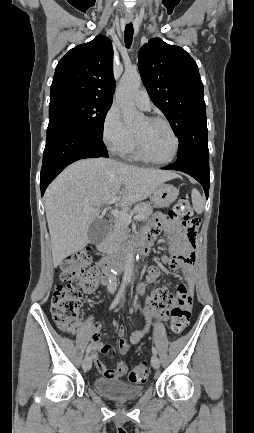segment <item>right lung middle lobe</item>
Listing matches in <instances>:
<instances>
[{
    "instance_id": "1",
    "label": "right lung middle lobe",
    "mask_w": 254,
    "mask_h": 433,
    "mask_svg": "<svg viewBox=\"0 0 254 433\" xmlns=\"http://www.w3.org/2000/svg\"><path fill=\"white\" fill-rule=\"evenodd\" d=\"M110 103L89 99H68L49 105V119L60 118L103 137L104 120Z\"/></svg>"
}]
</instances>
